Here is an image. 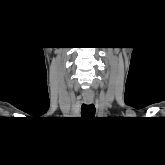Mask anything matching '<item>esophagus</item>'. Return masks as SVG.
Here are the masks:
<instances>
[{
	"instance_id": "esophagus-1",
	"label": "esophagus",
	"mask_w": 165,
	"mask_h": 165,
	"mask_svg": "<svg viewBox=\"0 0 165 165\" xmlns=\"http://www.w3.org/2000/svg\"><path fill=\"white\" fill-rule=\"evenodd\" d=\"M84 102H85L86 104H91V103L93 102V100H92V99H85Z\"/></svg>"
}]
</instances>
